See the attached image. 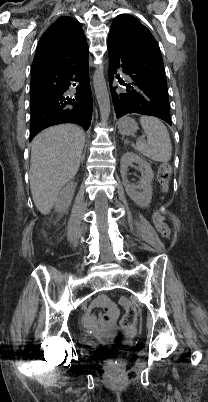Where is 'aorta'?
Returning a JSON list of instances; mask_svg holds the SVG:
<instances>
[{
    "mask_svg": "<svg viewBox=\"0 0 208 402\" xmlns=\"http://www.w3.org/2000/svg\"><path fill=\"white\" fill-rule=\"evenodd\" d=\"M93 86L98 106L100 108L101 122L102 124H107L110 114V100L102 64H100V66H98V68L95 70V74L93 76Z\"/></svg>",
    "mask_w": 208,
    "mask_h": 402,
    "instance_id": "1",
    "label": "aorta"
}]
</instances>
